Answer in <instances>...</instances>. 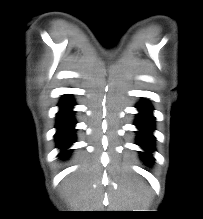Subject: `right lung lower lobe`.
I'll list each match as a JSON object with an SVG mask.
<instances>
[{"label":"right lung lower lobe","instance_id":"1","mask_svg":"<svg viewBox=\"0 0 203 219\" xmlns=\"http://www.w3.org/2000/svg\"><path fill=\"white\" fill-rule=\"evenodd\" d=\"M75 103L70 96L63 98L60 103V111L57 113V132L55 139L57 146L63 150L59 154L61 157H65L69 154L70 150H66L75 141V120L73 118L72 107Z\"/></svg>","mask_w":203,"mask_h":219}]
</instances>
